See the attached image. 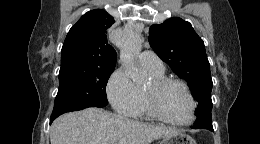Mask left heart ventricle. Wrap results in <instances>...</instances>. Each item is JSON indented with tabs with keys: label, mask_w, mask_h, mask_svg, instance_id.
Masks as SVG:
<instances>
[{
	"label": "left heart ventricle",
	"mask_w": 260,
	"mask_h": 144,
	"mask_svg": "<svg viewBox=\"0 0 260 144\" xmlns=\"http://www.w3.org/2000/svg\"><path fill=\"white\" fill-rule=\"evenodd\" d=\"M159 106L165 116L174 121L185 122L190 118V99L184 89L178 85H171L162 92Z\"/></svg>",
	"instance_id": "1"
}]
</instances>
